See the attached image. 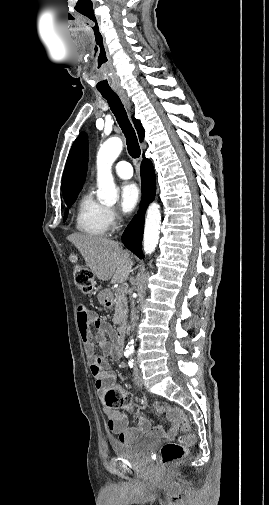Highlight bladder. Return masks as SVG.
Here are the masks:
<instances>
[{
	"mask_svg": "<svg viewBox=\"0 0 269 505\" xmlns=\"http://www.w3.org/2000/svg\"><path fill=\"white\" fill-rule=\"evenodd\" d=\"M156 443L157 439L154 436L146 435L132 443L113 441L112 450L119 458L141 459Z\"/></svg>",
	"mask_w": 269,
	"mask_h": 505,
	"instance_id": "31cf9c89",
	"label": "bladder"
}]
</instances>
